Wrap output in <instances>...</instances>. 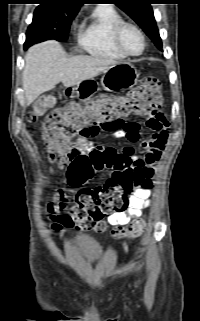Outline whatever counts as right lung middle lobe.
I'll return each instance as SVG.
<instances>
[{
    "label": "right lung middle lobe",
    "instance_id": "1",
    "mask_svg": "<svg viewBox=\"0 0 200 321\" xmlns=\"http://www.w3.org/2000/svg\"><path fill=\"white\" fill-rule=\"evenodd\" d=\"M78 12L54 13L47 7L38 6L35 9L32 23L26 33L24 48L48 39H55L64 42L68 38V33L72 20Z\"/></svg>",
    "mask_w": 200,
    "mask_h": 321
}]
</instances>
